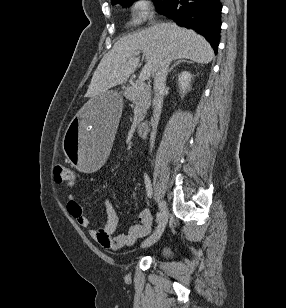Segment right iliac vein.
Listing matches in <instances>:
<instances>
[{
	"label": "right iliac vein",
	"instance_id": "obj_1",
	"mask_svg": "<svg viewBox=\"0 0 286 308\" xmlns=\"http://www.w3.org/2000/svg\"><path fill=\"white\" fill-rule=\"evenodd\" d=\"M158 205H159V209H160V213H161L160 224H159L157 230L141 244L142 248L150 247L153 244H155L160 239V237L162 236V234L165 230V227L167 225V222H168V207H167L166 203L161 201V200L158 201Z\"/></svg>",
	"mask_w": 286,
	"mask_h": 308
}]
</instances>
